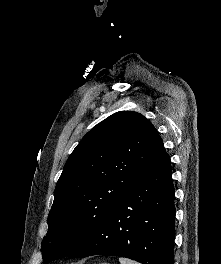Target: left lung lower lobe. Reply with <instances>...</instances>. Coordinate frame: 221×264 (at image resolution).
I'll list each match as a JSON object with an SVG mask.
<instances>
[{"mask_svg":"<svg viewBox=\"0 0 221 264\" xmlns=\"http://www.w3.org/2000/svg\"><path fill=\"white\" fill-rule=\"evenodd\" d=\"M174 219L171 162L164 152L69 257L101 254L142 264H173Z\"/></svg>","mask_w":221,"mask_h":264,"instance_id":"1","label":"left lung lower lobe"}]
</instances>
